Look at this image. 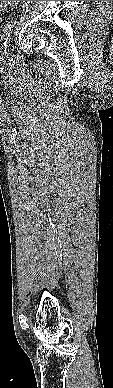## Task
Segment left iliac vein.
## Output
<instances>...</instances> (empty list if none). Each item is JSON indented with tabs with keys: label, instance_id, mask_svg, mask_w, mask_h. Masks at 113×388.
I'll use <instances>...</instances> for the list:
<instances>
[{
	"label": "left iliac vein",
	"instance_id": "1",
	"mask_svg": "<svg viewBox=\"0 0 113 388\" xmlns=\"http://www.w3.org/2000/svg\"><path fill=\"white\" fill-rule=\"evenodd\" d=\"M7 53V49L4 51V54H6Z\"/></svg>",
	"mask_w": 113,
	"mask_h": 388
}]
</instances>
